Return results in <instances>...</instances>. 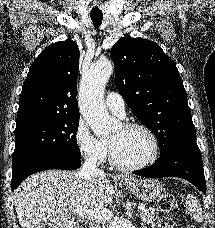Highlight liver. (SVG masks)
I'll return each mask as SVG.
<instances>
[{"label":"liver","instance_id":"liver-1","mask_svg":"<svg viewBox=\"0 0 215 228\" xmlns=\"http://www.w3.org/2000/svg\"><path fill=\"white\" fill-rule=\"evenodd\" d=\"M114 188L104 176L81 180L77 172L46 170L26 178L14 192L21 228H82L77 212L104 210Z\"/></svg>","mask_w":215,"mask_h":228}]
</instances>
